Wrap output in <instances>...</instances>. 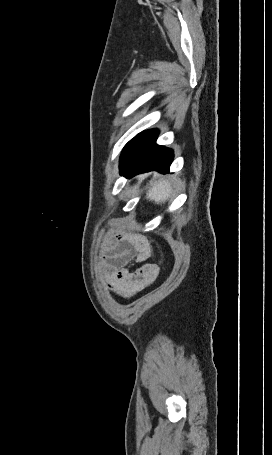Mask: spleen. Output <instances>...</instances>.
Wrapping results in <instances>:
<instances>
[{
  "label": "spleen",
  "instance_id": "1",
  "mask_svg": "<svg viewBox=\"0 0 272 455\" xmlns=\"http://www.w3.org/2000/svg\"><path fill=\"white\" fill-rule=\"evenodd\" d=\"M172 194V186L168 180H160L153 183L148 190L147 198L155 203L166 202Z\"/></svg>",
  "mask_w": 272,
  "mask_h": 455
}]
</instances>
